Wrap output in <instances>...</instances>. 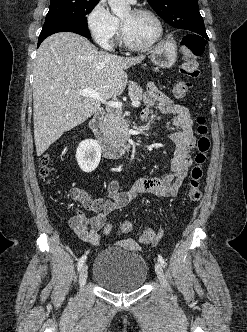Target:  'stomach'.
<instances>
[{
	"label": "stomach",
	"instance_id": "0dacf381",
	"mask_svg": "<svg viewBox=\"0 0 247 332\" xmlns=\"http://www.w3.org/2000/svg\"><path fill=\"white\" fill-rule=\"evenodd\" d=\"M154 65L161 68L172 67L177 59V46L174 41H167L156 46L150 54Z\"/></svg>",
	"mask_w": 247,
	"mask_h": 332
}]
</instances>
